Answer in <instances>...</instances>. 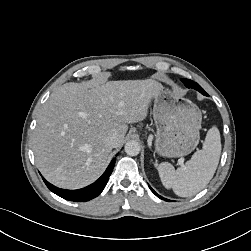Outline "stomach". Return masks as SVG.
I'll return each instance as SVG.
<instances>
[{"mask_svg": "<svg viewBox=\"0 0 251 251\" xmlns=\"http://www.w3.org/2000/svg\"><path fill=\"white\" fill-rule=\"evenodd\" d=\"M153 118L156 125L155 152L163 157H182L199 143L202 114L190 100L160 86L154 96Z\"/></svg>", "mask_w": 251, "mask_h": 251, "instance_id": "obj_1", "label": "stomach"}]
</instances>
